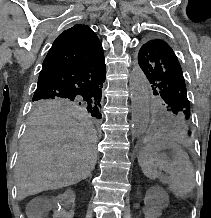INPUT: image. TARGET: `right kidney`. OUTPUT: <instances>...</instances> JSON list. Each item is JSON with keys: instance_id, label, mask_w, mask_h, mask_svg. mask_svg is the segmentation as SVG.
Here are the masks:
<instances>
[{"instance_id": "1", "label": "right kidney", "mask_w": 211, "mask_h": 218, "mask_svg": "<svg viewBox=\"0 0 211 218\" xmlns=\"http://www.w3.org/2000/svg\"><path fill=\"white\" fill-rule=\"evenodd\" d=\"M50 202H53V211L56 214L53 218H69L73 214V209H64V206H72V202H76V197L73 190H67L66 193H57V197H50Z\"/></svg>"}]
</instances>
